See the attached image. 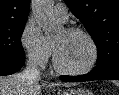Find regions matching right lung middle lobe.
I'll use <instances>...</instances> for the list:
<instances>
[{
	"label": "right lung middle lobe",
	"mask_w": 119,
	"mask_h": 95,
	"mask_svg": "<svg viewBox=\"0 0 119 95\" xmlns=\"http://www.w3.org/2000/svg\"><path fill=\"white\" fill-rule=\"evenodd\" d=\"M26 21L0 26V58H24L20 41Z\"/></svg>",
	"instance_id": "1"
}]
</instances>
